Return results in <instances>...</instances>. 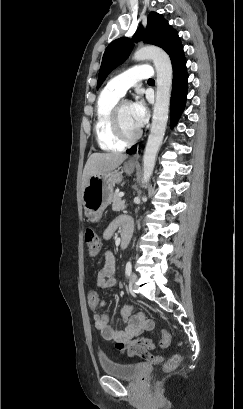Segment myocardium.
I'll use <instances>...</instances> for the list:
<instances>
[{"label": "myocardium", "instance_id": "myocardium-1", "mask_svg": "<svg viewBox=\"0 0 243 409\" xmlns=\"http://www.w3.org/2000/svg\"><path fill=\"white\" fill-rule=\"evenodd\" d=\"M124 103H128V101L120 100L114 106L111 114V129L118 141H120L123 144H130L135 142L139 138L141 132L139 129L132 135H128L124 132L120 122V111Z\"/></svg>", "mask_w": 243, "mask_h": 409}]
</instances>
